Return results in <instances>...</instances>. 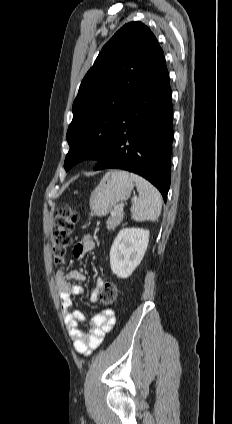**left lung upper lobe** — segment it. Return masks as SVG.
<instances>
[{
    "label": "left lung upper lobe",
    "instance_id": "5c2ea615",
    "mask_svg": "<svg viewBox=\"0 0 232 424\" xmlns=\"http://www.w3.org/2000/svg\"><path fill=\"white\" fill-rule=\"evenodd\" d=\"M163 58L156 37L141 22L124 25L104 45L73 103L66 170L98 159L127 104Z\"/></svg>",
    "mask_w": 232,
    "mask_h": 424
}]
</instances>
